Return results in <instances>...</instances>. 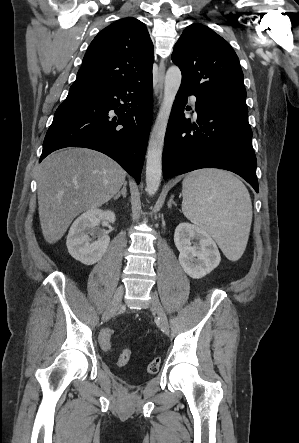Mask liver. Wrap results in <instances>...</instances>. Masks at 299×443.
Instances as JSON below:
<instances>
[{"mask_svg": "<svg viewBox=\"0 0 299 443\" xmlns=\"http://www.w3.org/2000/svg\"><path fill=\"white\" fill-rule=\"evenodd\" d=\"M126 172L108 156L85 148L50 154L37 171L38 211L42 234L54 244L73 219L116 195Z\"/></svg>", "mask_w": 299, "mask_h": 443, "instance_id": "6515ba94", "label": "liver"}]
</instances>
